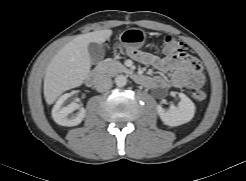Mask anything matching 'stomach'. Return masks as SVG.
I'll use <instances>...</instances> for the list:
<instances>
[{"mask_svg":"<svg viewBox=\"0 0 246 181\" xmlns=\"http://www.w3.org/2000/svg\"><path fill=\"white\" fill-rule=\"evenodd\" d=\"M145 40L146 34L143 30L138 28H131L120 34L119 44H117L116 47L139 49L144 45Z\"/></svg>","mask_w":246,"mask_h":181,"instance_id":"1","label":"stomach"}]
</instances>
